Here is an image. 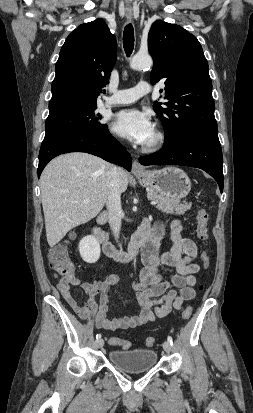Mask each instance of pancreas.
I'll return each mask as SVG.
<instances>
[{
  "label": "pancreas",
  "mask_w": 253,
  "mask_h": 413,
  "mask_svg": "<svg viewBox=\"0 0 253 413\" xmlns=\"http://www.w3.org/2000/svg\"><path fill=\"white\" fill-rule=\"evenodd\" d=\"M147 197L157 202L156 208L158 210L168 214L183 215L192 206L191 203H180L179 200L158 194L152 190L147 193Z\"/></svg>",
  "instance_id": "pancreas-1"
}]
</instances>
